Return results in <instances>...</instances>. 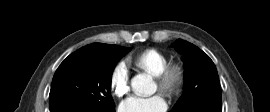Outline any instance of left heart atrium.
I'll return each instance as SVG.
<instances>
[{
	"instance_id": "39dd6f15",
	"label": "left heart atrium",
	"mask_w": 270,
	"mask_h": 112,
	"mask_svg": "<svg viewBox=\"0 0 270 112\" xmlns=\"http://www.w3.org/2000/svg\"><path fill=\"white\" fill-rule=\"evenodd\" d=\"M166 109L167 103L159 94L150 97H129L119 106V112H165Z\"/></svg>"
}]
</instances>
